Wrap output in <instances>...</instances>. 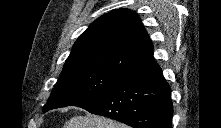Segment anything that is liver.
<instances>
[{
	"label": "liver",
	"mask_w": 221,
	"mask_h": 128,
	"mask_svg": "<svg viewBox=\"0 0 221 128\" xmlns=\"http://www.w3.org/2000/svg\"><path fill=\"white\" fill-rule=\"evenodd\" d=\"M63 128H128L126 125L96 115L75 116L67 121Z\"/></svg>",
	"instance_id": "6515ba94"
}]
</instances>
